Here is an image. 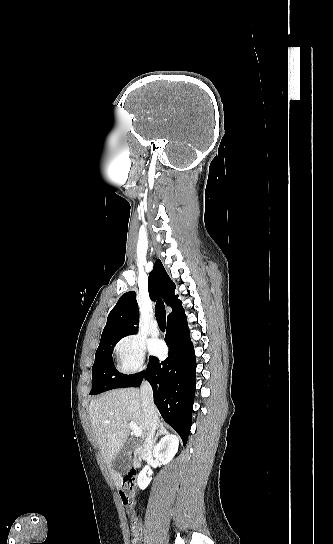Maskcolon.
<instances>
[{"instance_id": "colon-1", "label": "colon", "mask_w": 333, "mask_h": 544, "mask_svg": "<svg viewBox=\"0 0 333 544\" xmlns=\"http://www.w3.org/2000/svg\"><path fill=\"white\" fill-rule=\"evenodd\" d=\"M123 504L130 510L132 539L131 544H140L142 539V526L139 518L135 514L137 503V488L134 474L130 473L124 478L123 489L120 493Z\"/></svg>"}]
</instances>
